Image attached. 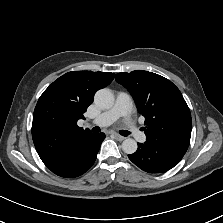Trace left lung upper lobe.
<instances>
[{
	"label": "left lung upper lobe",
	"mask_w": 223,
	"mask_h": 223,
	"mask_svg": "<svg viewBox=\"0 0 223 223\" xmlns=\"http://www.w3.org/2000/svg\"><path fill=\"white\" fill-rule=\"evenodd\" d=\"M116 81L127 88L145 117L146 141L185 154L192 120L179 89L163 76L142 70L118 73Z\"/></svg>",
	"instance_id": "obj_1"
}]
</instances>
